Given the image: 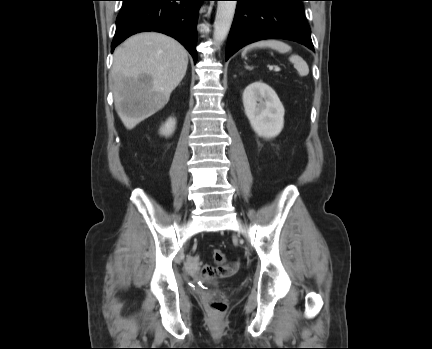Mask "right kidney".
<instances>
[{
    "label": "right kidney",
    "mask_w": 432,
    "mask_h": 349,
    "mask_svg": "<svg viewBox=\"0 0 432 349\" xmlns=\"http://www.w3.org/2000/svg\"><path fill=\"white\" fill-rule=\"evenodd\" d=\"M176 121L174 118H169L166 123L161 127L160 134L164 136L171 135L175 130Z\"/></svg>",
    "instance_id": "right-kidney-1"
}]
</instances>
